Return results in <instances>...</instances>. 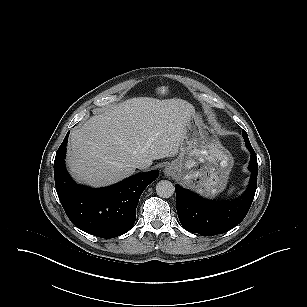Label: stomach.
I'll return each instance as SVG.
<instances>
[{
  "label": "stomach",
  "instance_id": "1",
  "mask_svg": "<svg viewBox=\"0 0 307 307\" xmlns=\"http://www.w3.org/2000/svg\"><path fill=\"white\" fill-rule=\"evenodd\" d=\"M171 166L183 185L206 197H214L227 185L233 157L202 116L194 112L185 122L180 153Z\"/></svg>",
  "mask_w": 307,
  "mask_h": 307
}]
</instances>
